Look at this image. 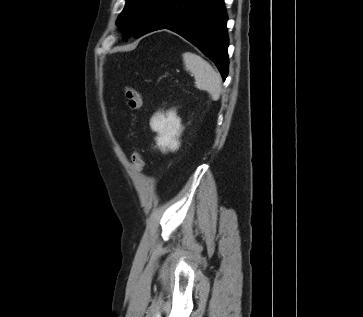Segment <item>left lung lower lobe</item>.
<instances>
[{"instance_id": "left-lung-lower-lobe-1", "label": "left lung lower lobe", "mask_w": 363, "mask_h": 317, "mask_svg": "<svg viewBox=\"0 0 363 317\" xmlns=\"http://www.w3.org/2000/svg\"><path fill=\"white\" fill-rule=\"evenodd\" d=\"M227 15L223 0H159L144 34L169 29L197 46L228 73Z\"/></svg>"}]
</instances>
